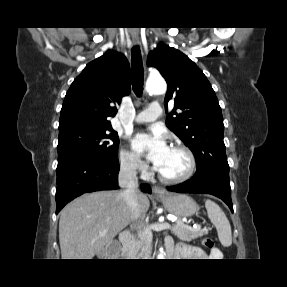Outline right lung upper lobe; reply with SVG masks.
Wrapping results in <instances>:
<instances>
[{
  "label": "right lung upper lobe",
  "instance_id": "1",
  "mask_svg": "<svg viewBox=\"0 0 287 287\" xmlns=\"http://www.w3.org/2000/svg\"><path fill=\"white\" fill-rule=\"evenodd\" d=\"M131 91L127 58L116 51L86 65L66 93L59 128L75 123L111 127L110 118L117 113L116 104Z\"/></svg>",
  "mask_w": 287,
  "mask_h": 287
}]
</instances>
